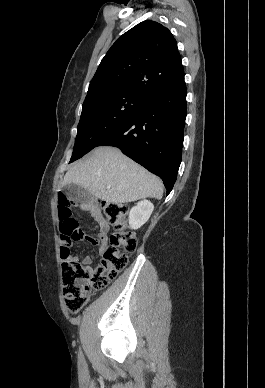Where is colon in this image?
Wrapping results in <instances>:
<instances>
[{
	"label": "colon",
	"mask_w": 265,
	"mask_h": 388,
	"mask_svg": "<svg viewBox=\"0 0 265 388\" xmlns=\"http://www.w3.org/2000/svg\"><path fill=\"white\" fill-rule=\"evenodd\" d=\"M57 203L64 302L68 311L77 313L89 301L92 291L105 288L125 268L128 254L136 248V239L128 230L127 206L104 202L103 212L115 232L109 238L110 245L103 252L101 264L95 268L83 265L70 253L72 241L85 239L86 235L72 216L68 197L59 193Z\"/></svg>",
	"instance_id": "obj_1"
}]
</instances>
